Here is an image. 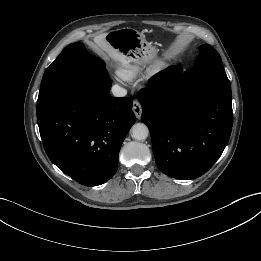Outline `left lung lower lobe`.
Segmentation results:
<instances>
[{
  "label": "left lung lower lobe",
  "mask_w": 261,
  "mask_h": 261,
  "mask_svg": "<svg viewBox=\"0 0 261 261\" xmlns=\"http://www.w3.org/2000/svg\"><path fill=\"white\" fill-rule=\"evenodd\" d=\"M231 88L224 69L182 72L170 66L138 94L156 164L166 175L194 179L224 151L232 129Z\"/></svg>",
  "instance_id": "obj_1"
}]
</instances>
